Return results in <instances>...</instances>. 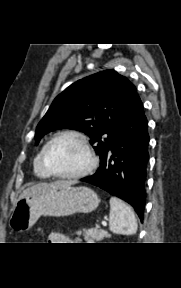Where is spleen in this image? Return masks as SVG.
<instances>
[{
  "instance_id": "1",
  "label": "spleen",
  "mask_w": 181,
  "mask_h": 288,
  "mask_svg": "<svg viewBox=\"0 0 181 288\" xmlns=\"http://www.w3.org/2000/svg\"><path fill=\"white\" fill-rule=\"evenodd\" d=\"M138 228L133 210L116 197L110 198L109 229L115 234L133 235Z\"/></svg>"
}]
</instances>
